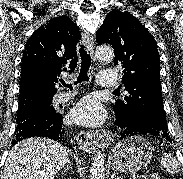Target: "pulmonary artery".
Wrapping results in <instances>:
<instances>
[{"instance_id":"pulmonary-artery-1","label":"pulmonary artery","mask_w":183,"mask_h":179,"mask_svg":"<svg viewBox=\"0 0 183 179\" xmlns=\"http://www.w3.org/2000/svg\"><path fill=\"white\" fill-rule=\"evenodd\" d=\"M97 82L102 87L112 88V87H116L117 86L116 75L112 71H108V70L101 71L98 74ZM73 95H74V93H71V92H60V93H57L54 96V102L57 103V104L66 102Z\"/></svg>"}]
</instances>
